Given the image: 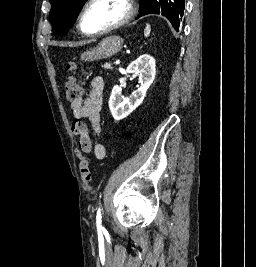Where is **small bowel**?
Masks as SVG:
<instances>
[{"mask_svg": "<svg viewBox=\"0 0 256 267\" xmlns=\"http://www.w3.org/2000/svg\"><path fill=\"white\" fill-rule=\"evenodd\" d=\"M104 88V79L101 76H95L90 81L89 91L86 97L80 98L71 102L72 115L74 118H86L93 132L97 138L100 137L101 131V105H102V92ZM81 149L84 152L92 150V142L90 137L86 138V145L83 144V138H80ZM95 157L103 159L106 155L104 145L97 141L93 147ZM78 156L82 158V152H78Z\"/></svg>", "mask_w": 256, "mask_h": 267, "instance_id": "small-bowel-1", "label": "small bowel"}]
</instances>
